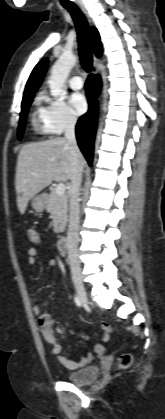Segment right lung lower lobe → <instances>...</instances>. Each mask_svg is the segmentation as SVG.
<instances>
[{
	"mask_svg": "<svg viewBox=\"0 0 165 419\" xmlns=\"http://www.w3.org/2000/svg\"><path fill=\"white\" fill-rule=\"evenodd\" d=\"M101 87L100 76L90 75L86 81V94L89 101V111L81 116L76 125L78 145L91 165L93 157V142L97 126L98 106L96 96Z\"/></svg>",
	"mask_w": 165,
	"mask_h": 419,
	"instance_id": "1",
	"label": "right lung lower lobe"
}]
</instances>
